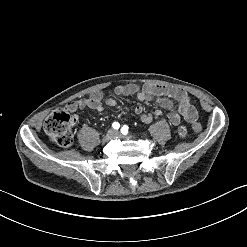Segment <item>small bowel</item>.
<instances>
[{"mask_svg": "<svg viewBox=\"0 0 247 247\" xmlns=\"http://www.w3.org/2000/svg\"><path fill=\"white\" fill-rule=\"evenodd\" d=\"M114 94L116 96H135L140 101L155 99L161 107L169 111L168 119L174 126H178L180 123L179 113L184 115V119L189 125L196 126L198 124L196 109L191 106L188 93L181 88L154 84L139 86L134 83H127L117 85L114 88ZM116 103L114 97H104L101 91H94L88 98L77 99L67 103L66 109L72 113L83 109L103 111L105 108L114 107ZM134 112L144 123H149L153 119L162 117L161 110L145 113L142 105H136ZM75 120H77V116L73 117V121ZM178 133L180 137H184L186 131L183 127H180Z\"/></svg>", "mask_w": 247, "mask_h": 247, "instance_id": "obj_1", "label": "small bowel"}]
</instances>
